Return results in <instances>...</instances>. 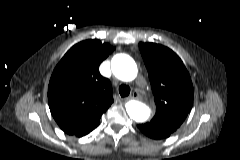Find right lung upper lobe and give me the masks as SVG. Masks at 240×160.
<instances>
[{"mask_svg":"<svg viewBox=\"0 0 240 160\" xmlns=\"http://www.w3.org/2000/svg\"><path fill=\"white\" fill-rule=\"evenodd\" d=\"M114 50L99 40L74 45L55 67L48 86L52 116L69 135L99 124L112 104V87L99 65Z\"/></svg>","mask_w":240,"mask_h":160,"instance_id":"right-lung-upper-lobe-1","label":"right lung upper lobe"}]
</instances>
